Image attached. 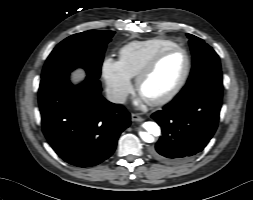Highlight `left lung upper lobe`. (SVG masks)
Listing matches in <instances>:
<instances>
[{
  "instance_id": "1",
  "label": "left lung upper lobe",
  "mask_w": 253,
  "mask_h": 200,
  "mask_svg": "<svg viewBox=\"0 0 253 200\" xmlns=\"http://www.w3.org/2000/svg\"><path fill=\"white\" fill-rule=\"evenodd\" d=\"M187 36L192 51L193 66L187 84L176 96L178 99L186 98L204 87H223L219 56L202 39L191 34Z\"/></svg>"
}]
</instances>
